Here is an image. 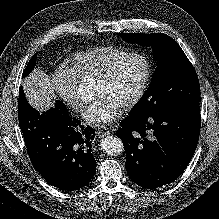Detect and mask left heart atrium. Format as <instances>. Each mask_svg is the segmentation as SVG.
<instances>
[{
	"instance_id": "left-heart-atrium-1",
	"label": "left heart atrium",
	"mask_w": 219,
	"mask_h": 219,
	"mask_svg": "<svg viewBox=\"0 0 219 219\" xmlns=\"http://www.w3.org/2000/svg\"><path fill=\"white\" fill-rule=\"evenodd\" d=\"M121 106L107 96H100L85 112L84 118L90 123L106 124L115 120Z\"/></svg>"
}]
</instances>
